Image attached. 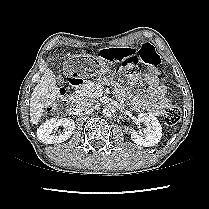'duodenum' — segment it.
Masks as SVG:
<instances>
[{
  "label": "duodenum",
  "instance_id": "1",
  "mask_svg": "<svg viewBox=\"0 0 209 209\" xmlns=\"http://www.w3.org/2000/svg\"><path fill=\"white\" fill-rule=\"evenodd\" d=\"M71 84L74 87L75 91L66 97L65 103L70 107H74L79 99V90H81L85 86L86 82L79 78H72Z\"/></svg>",
  "mask_w": 209,
  "mask_h": 209
}]
</instances>
